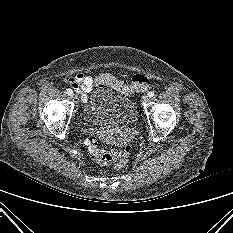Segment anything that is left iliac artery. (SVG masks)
Listing matches in <instances>:
<instances>
[{"mask_svg": "<svg viewBox=\"0 0 233 233\" xmlns=\"http://www.w3.org/2000/svg\"><path fill=\"white\" fill-rule=\"evenodd\" d=\"M154 95H155V92H154V91H150V92L148 93V97H149V98L154 97Z\"/></svg>", "mask_w": 233, "mask_h": 233, "instance_id": "44dca946", "label": "left iliac artery"}]
</instances>
